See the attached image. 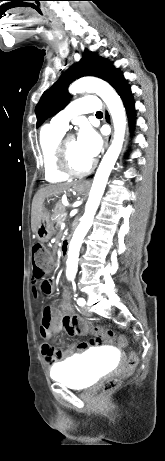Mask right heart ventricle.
I'll return each instance as SVG.
<instances>
[{
  "label": "right heart ventricle",
  "mask_w": 165,
  "mask_h": 461,
  "mask_svg": "<svg viewBox=\"0 0 165 461\" xmlns=\"http://www.w3.org/2000/svg\"><path fill=\"white\" fill-rule=\"evenodd\" d=\"M64 132L52 124L44 126L40 132L39 148L43 161L44 176L51 183L68 179V175L58 169L55 161V149Z\"/></svg>",
  "instance_id": "right-heart-ventricle-1"
}]
</instances>
